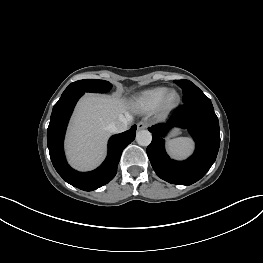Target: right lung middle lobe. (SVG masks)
Returning a JSON list of instances; mask_svg holds the SVG:
<instances>
[{
  "mask_svg": "<svg viewBox=\"0 0 263 263\" xmlns=\"http://www.w3.org/2000/svg\"><path fill=\"white\" fill-rule=\"evenodd\" d=\"M112 87V84L105 80L85 79L71 83L63 92L62 97L76 92L105 93Z\"/></svg>",
  "mask_w": 263,
  "mask_h": 263,
  "instance_id": "dd1d6c3e",
  "label": "right lung middle lobe"
}]
</instances>
